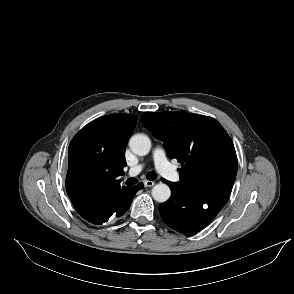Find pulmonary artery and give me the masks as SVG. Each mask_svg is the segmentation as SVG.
Instances as JSON below:
<instances>
[{"label":"pulmonary artery","mask_w":294,"mask_h":294,"mask_svg":"<svg viewBox=\"0 0 294 294\" xmlns=\"http://www.w3.org/2000/svg\"><path fill=\"white\" fill-rule=\"evenodd\" d=\"M153 161L156 169L167 178L171 180H175L177 178V172L172 168L171 164L168 162L166 158V153L163 148L157 147L153 151ZM143 169V165H137L132 167L128 174L130 176H135L141 172Z\"/></svg>","instance_id":"pulmonary-artery-1"}]
</instances>
